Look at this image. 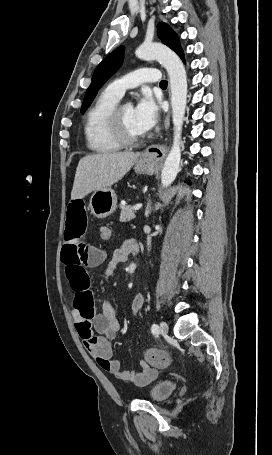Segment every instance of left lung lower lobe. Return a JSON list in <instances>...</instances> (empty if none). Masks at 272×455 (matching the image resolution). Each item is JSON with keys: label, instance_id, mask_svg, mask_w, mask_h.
<instances>
[{"label": "left lung lower lobe", "instance_id": "0a47b994", "mask_svg": "<svg viewBox=\"0 0 272 455\" xmlns=\"http://www.w3.org/2000/svg\"><path fill=\"white\" fill-rule=\"evenodd\" d=\"M181 59L184 60V56H181Z\"/></svg>", "mask_w": 272, "mask_h": 455}]
</instances>
